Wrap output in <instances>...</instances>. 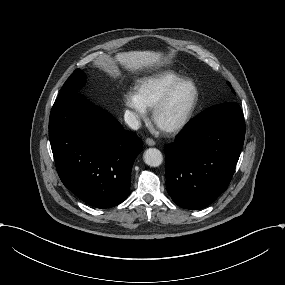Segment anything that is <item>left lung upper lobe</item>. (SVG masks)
<instances>
[{
	"mask_svg": "<svg viewBox=\"0 0 285 285\" xmlns=\"http://www.w3.org/2000/svg\"><path fill=\"white\" fill-rule=\"evenodd\" d=\"M228 85L231 87V84L229 82H228ZM231 89H232V87H231ZM232 92L235 93L233 89H232Z\"/></svg>",
	"mask_w": 285,
	"mask_h": 285,
	"instance_id": "1",
	"label": "left lung upper lobe"
}]
</instances>
